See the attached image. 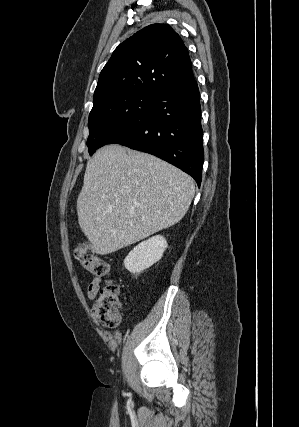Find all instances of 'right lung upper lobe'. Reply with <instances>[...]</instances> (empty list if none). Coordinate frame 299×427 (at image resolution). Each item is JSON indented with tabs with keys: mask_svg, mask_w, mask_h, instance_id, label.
Masks as SVG:
<instances>
[{
	"mask_svg": "<svg viewBox=\"0 0 299 427\" xmlns=\"http://www.w3.org/2000/svg\"><path fill=\"white\" fill-rule=\"evenodd\" d=\"M194 80L188 50L168 24H152L121 43L102 69L94 103L117 93L155 97Z\"/></svg>",
	"mask_w": 299,
	"mask_h": 427,
	"instance_id": "right-lung-upper-lobe-1",
	"label": "right lung upper lobe"
}]
</instances>
